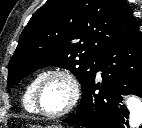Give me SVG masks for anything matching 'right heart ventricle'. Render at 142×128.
<instances>
[{"instance_id": "1", "label": "right heart ventricle", "mask_w": 142, "mask_h": 128, "mask_svg": "<svg viewBox=\"0 0 142 128\" xmlns=\"http://www.w3.org/2000/svg\"><path fill=\"white\" fill-rule=\"evenodd\" d=\"M43 72H40L36 74L26 85L23 95H22V104L28 112L35 113L36 108H35V103H34V92H35V87L38 82V79L42 75Z\"/></svg>"}]
</instances>
